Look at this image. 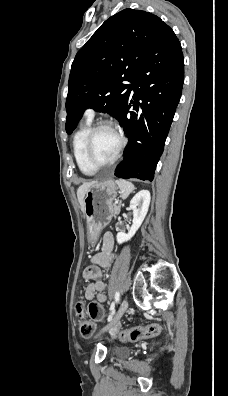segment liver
Instances as JSON below:
<instances>
[{"label":"liver","mask_w":228,"mask_h":396,"mask_svg":"<svg viewBox=\"0 0 228 396\" xmlns=\"http://www.w3.org/2000/svg\"><path fill=\"white\" fill-rule=\"evenodd\" d=\"M93 183V182H92ZM92 183H83L81 186H79V188L77 189V198H78V202L81 206V210L84 212V197H85V193L87 188L92 184Z\"/></svg>","instance_id":"obj_1"}]
</instances>
